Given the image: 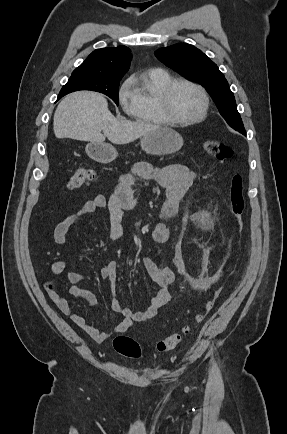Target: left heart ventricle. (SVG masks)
<instances>
[{"instance_id":"b2bd125f","label":"left heart ventricle","mask_w":287,"mask_h":434,"mask_svg":"<svg viewBox=\"0 0 287 434\" xmlns=\"http://www.w3.org/2000/svg\"><path fill=\"white\" fill-rule=\"evenodd\" d=\"M170 106L176 118L190 119L199 114L202 108V98L193 87L179 84L172 91Z\"/></svg>"}]
</instances>
